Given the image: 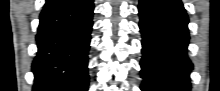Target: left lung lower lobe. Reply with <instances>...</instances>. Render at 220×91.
<instances>
[{
    "instance_id": "left-lung-lower-lobe-1",
    "label": "left lung lower lobe",
    "mask_w": 220,
    "mask_h": 91,
    "mask_svg": "<svg viewBox=\"0 0 220 91\" xmlns=\"http://www.w3.org/2000/svg\"><path fill=\"white\" fill-rule=\"evenodd\" d=\"M142 91H190L188 16L180 0H140Z\"/></svg>"
}]
</instances>
